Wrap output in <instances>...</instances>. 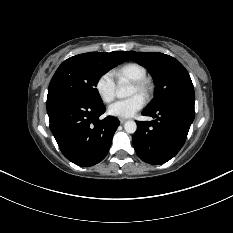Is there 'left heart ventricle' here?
<instances>
[{"label": "left heart ventricle", "mask_w": 233, "mask_h": 233, "mask_svg": "<svg viewBox=\"0 0 233 233\" xmlns=\"http://www.w3.org/2000/svg\"><path fill=\"white\" fill-rule=\"evenodd\" d=\"M136 94H138V91L136 90L135 87L131 86L128 95L133 96V95H136Z\"/></svg>", "instance_id": "obj_1"}]
</instances>
